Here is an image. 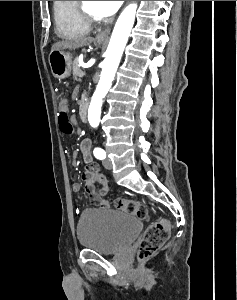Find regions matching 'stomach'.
<instances>
[{
  "label": "stomach",
  "mask_w": 237,
  "mask_h": 300,
  "mask_svg": "<svg viewBox=\"0 0 237 300\" xmlns=\"http://www.w3.org/2000/svg\"><path fill=\"white\" fill-rule=\"evenodd\" d=\"M49 65L56 79H66L71 73L72 57L69 53H64V51H51Z\"/></svg>",
  "instance_id": "obj_1"
}]
</instances>
